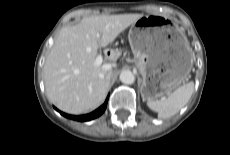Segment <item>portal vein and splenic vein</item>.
Returning <instances> with one entry per match:
<instances>
[{"instance_id": "1", "label": "portal vein and splenic vein", "mask_w": 230, "mask_h": 155, "mask_svg": "<svg viewBox=\"0 0 230 155\" xmlns=\"http://www.w3.org/2000/svg\"><path fill=\"white\" fill-rule=\"evenodd\" d=\"M102 62H103V57H102V55H98V56L96 57V59H95V65L101 66V65H102ZM111 67H112L111 64H103V65H102V68H103L104 70H110Z\"/></svg>"}]
</instances>
